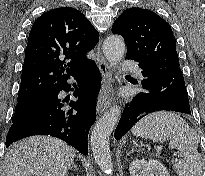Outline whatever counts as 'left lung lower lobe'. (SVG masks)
<instances>
[{"label": "left lung lower lobe", "mask_w": 205, "mask_h": 176, "mask_svg": "<svg viewBox=\"0 0 205 176\" xmlns=\"http://www.w3.org/2000/svg\"><path fill=\"white\" fill-rule=\"evenodd\" d=\"M142 70L144 78L141 86L144 91L137 93L126 104L115 130L116 140L122 138L139 120L150 113L166 110L191 114L180 67Z\"/></svg>", "instance_id": "0a47b994"}]
</instances>
